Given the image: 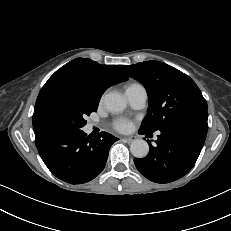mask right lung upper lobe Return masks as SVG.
<instances>
[{
    "label": "right lung upper lobe",
    "mask_w": 231,
    "mask_h": 231,
    "mask_svg": "<svg viewBox=\"0 0 231 231\" xmlns=\"http://www.w3.org/2000/svg\"><path fill=\"white\" fill-rule=\"evenodd\" d=\"M121 65H102L89 58H76L58 69L45 83L38 97L60 85L82 83L89 86L100 98L104 91L128 77Z\"/></svg>",
    "instance_id": "1"
}]
</instances>
